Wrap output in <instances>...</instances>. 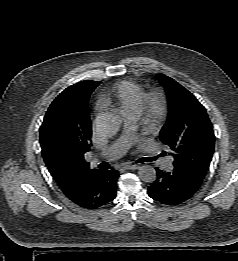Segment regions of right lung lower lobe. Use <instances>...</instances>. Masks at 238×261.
<instances>
[{
  "instance_id": "right-lung-lower-lobe-1",
  "label": "right lung lower lobe",
  "mask_w": 238,
  "mask_h": 261,
  "mask_svg": "<svg viewBox=\"0 0 238 261\" xmlns=\"http://www.w3.org/2000/svg\"><path fill=\"white\" fill-rule=\"evenodd\" d=\"M118 178L119 173L116 170H98L84 190L70 200L74 204L90 210L106 205L116 197Z\"/></svg>"
}]
</instances>
